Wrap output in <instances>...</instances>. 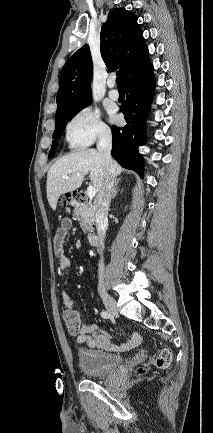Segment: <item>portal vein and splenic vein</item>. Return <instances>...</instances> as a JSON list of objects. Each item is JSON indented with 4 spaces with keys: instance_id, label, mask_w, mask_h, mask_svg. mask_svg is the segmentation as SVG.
Listing matches in <instances>:
<instances>
[{
    "instance_id": "obj_1",
    "label": "portal vein and splenic vein",
    "mask_w": 213,
    "mask_h": 433,
    "mask_svg": "<svg viewBox=\"0 0 213 433\" xmlns=\"http://www.w3.org/2000/svg\"><path fill=\"white\" fill-rule=\"evenodd\" d=\"M63 178H64V179H67L68 176H67V175H63ZM95 195H96V190H95V188H94L93 186H89V187L87 188V196H88L89 198H93Z\"/></svg>"
}]
</instances>
